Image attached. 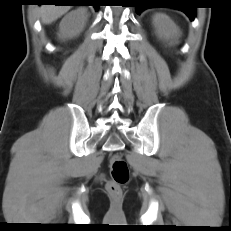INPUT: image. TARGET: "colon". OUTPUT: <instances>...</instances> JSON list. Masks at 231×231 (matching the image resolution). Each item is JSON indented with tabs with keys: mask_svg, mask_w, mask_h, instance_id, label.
Wrapping results in <instances>:
<instances>
[{
	"mask_svg": "<svg viewBox=\"0 0 231 231\" xmlns=\"http://www.w3.org/2000/svg\"><path fill=\"white\" fill-rule=\"evenodd\" d=\"M111 178L106 185L107 191L114 197L121 195V187L129 181L128 164L118 155H112L109 160Z\"/></svg>",
	"mask_w": 231,
	"mask_h": 231,
	"instance_id": "1",
	"label": "colon"
}]
</instances>
